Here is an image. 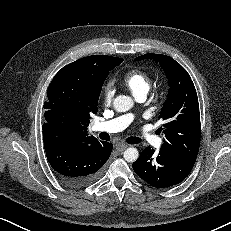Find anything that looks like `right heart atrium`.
Listing matches in <instances>:
<instances>
[{
  "instance_id": "d8ad5b80",
  "label": "right heart atrium",
  "mask_w": 231,
  "mask_h": 231,
  "mask_svg": "<svg viewBox=\"0 0 231 231\" xmlns=\"http://www.w3.org/2000/svg\"><path fill=\"white\" fill-rule=\"evenodd\" d=\"M115 93L114 86L111 83H106L102 88V99L105 103L111 102Z\"/></svg>"
}]
</instances>
